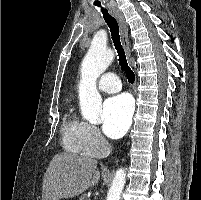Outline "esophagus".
<instances>
[{"mask_svg": "<svg viewBox=\"0 0 201 200\" xmlns=\"http://www.w3.org/2000/svg\"><path fill=\"white\" fill-rule=\"evenodd\" d=\"M111 13L117 18L119 22L120 29H121L122 44L125 49L129 63L131 64V47H130L129 36H128V27L125 22L124 16L119 10H116V9H112Z\"/></svg>", "mask_w": 201, "mask_h": 200, "instance_id": "obj_1", "label": "esophagus"}]
</instances>
